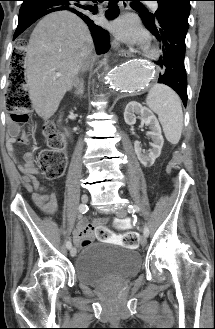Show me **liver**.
Wrapping results in <instances>:
<instances>
[{
  "mask_svg": "<svg viewBox=\"0 0 215 329\" xmlns=\"http://www.w3.org/2000/svg\"><path fill=\"white\" fill-rule=\"evenodd\" d=\"M92 51L90 31L75 14L59 11L39 21L24 61L29 98L38 116L46 120L57 111Z\"/></svg>",
  "mask_w": 215,
  "mask_h": 329,
  "instance_id": "6515ba94",
  "label": "liver"
}]
</instances>
